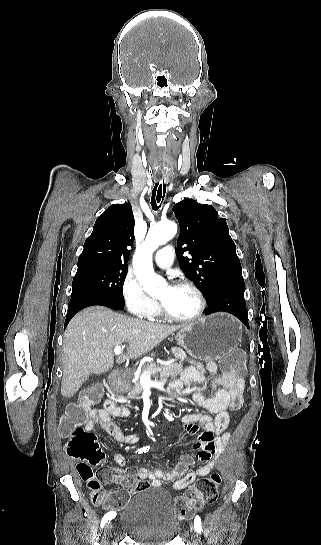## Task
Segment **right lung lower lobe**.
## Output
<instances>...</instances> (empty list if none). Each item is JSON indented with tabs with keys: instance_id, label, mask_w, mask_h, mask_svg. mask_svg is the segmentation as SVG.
<instances>
[{
	"instance_id": "obj_1",
	"label": "right lung lower lobe",
	"mask_w": 321,
	"mask_h": 545,
	"mask_svg": "<svg viewBox=\"0 0 321 545\" xmlns=\"http://www.w3.org/2000/svg\"><path fill=\"white\" fill-rule=\"evenodd\" d=\"M93 305H101L115 310H122L124 308L125 302L94 295H81L72 298L68 304L65 327L68 325L69 321L77 312H79L83 308Z\"/></svg>"
}]
</instances>
